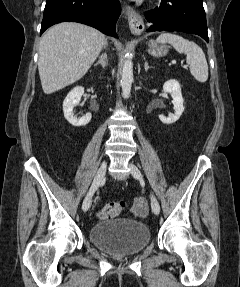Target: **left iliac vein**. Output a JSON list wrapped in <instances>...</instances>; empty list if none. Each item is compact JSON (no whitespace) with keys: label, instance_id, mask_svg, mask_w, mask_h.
I'll return each mask as SVG.
<instances>
[{"label":"left iliac vein","instance_id":"left-iliac-vein-1","mask_svg":"<svg viewBox=\"0 0 240 287\" xmlns=\"http://www.w3.org/2000/svg\"><path fill=\"white\" fill-rule=\"evenodd\" d=\"M128 166H129V169H130L132 176L135 179L143 182V176H142L140 170L133 163H129ZM151 207H152V211L155 215H158L160 213V206H159V203H158V201L154 195H151Z\"/></svg>","mask_w":240,"mask_h":287}]
</instances>
